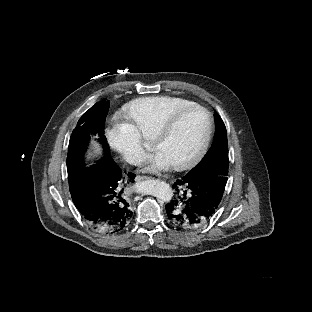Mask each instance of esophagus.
<instances>
[{"mask_svg": "<svg viewBox=\"0 0 312 312\" xmlns=\"http://www.w3.org/2000/svg\"><path fill=\"white\" fill-rule=\"evenodd\" d=\"M152 178L151 177H149V176H140V175H138V176H136V182H139V181H142V180H151Z\"/></svg>", "mask_w": 312, "mask_h": 312, "instance_id": "1", "label": "esophagus"}]
</instances>
